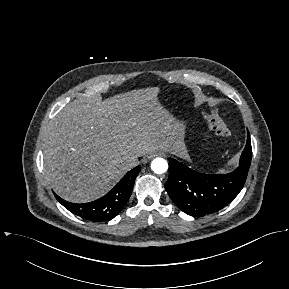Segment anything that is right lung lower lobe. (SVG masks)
<instances>
[{
  "instance_id": "obj_1",
  "label": "right lung lower lobe",
  "mask_w": 289,
  "mask_h": 289,
  "mask_svg": "<svg viewBox=\"0 0 289 289\" xmlns=\"http://www.w3.org/2000/svg\"><path fill=\"white\" fill-rule=\"evenodd\" d=\"M141 167L129 171L117 185L102 198L84 204H74L67 202L54 194L56 199L72 213L95 222L107 221L115 217L124 207L131 195L134 180Z\"/></svg>"
}]
</instances>
